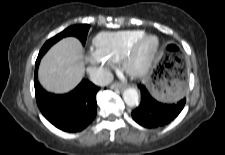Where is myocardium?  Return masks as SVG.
Instances as JSON below:
<instances>
[{
    "instance_id": "f54148a6",
    "label": "myocardium",
    "mask_w": 225,
    "mask_h": 155,
    "mask_svg": "<svg viewBox=\"0 0 225 155\" xmlns=\"http://www.w3.org/2000/svg\"><path fill=\"white\" fill-rule=\"evenodd\" d=\"M149 41H153L150 49L145 46ZM160 48V40L154 34H144L128 50L123 57V66L132 76H144L153 65Z\"/></svg>"
}]
</instances>
